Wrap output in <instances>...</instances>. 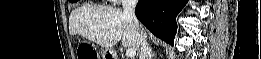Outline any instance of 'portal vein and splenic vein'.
I'll list each match as a JSON object with an SVG mask.
<instances>
[{
    "instance_id": "18ae733b",
    "label": "portal vein and splenic vein",
    "mask_w": 261,
    "mask_h": 59,
    "mask_svg": "<svg viewBox=\"0 0 261 59\" xmlns=\"http://www.w3.org/2000/svg\"><path fill=\"white\" fill-rule=\"evenodd\" d=\"M136 55V50L133 48H128L126 50V56L129 58H133Z\"/></svg>"
}]
</instances>
